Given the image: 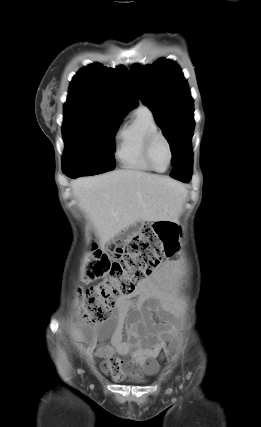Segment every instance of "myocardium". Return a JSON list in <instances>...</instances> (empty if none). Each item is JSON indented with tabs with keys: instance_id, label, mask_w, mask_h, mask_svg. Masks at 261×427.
Listing matches in <instances>:
<instances>
[{
	"instance_id": "obj_1",
	"label": "myocardium",
	"mask_w": 261,
	"mask_h": 427,
	"mask_svg": "<svg viewBox=\"0 0 261 427\" xmlns=\"http://www.w3.org/2000/svg\"><path fill=\"white\" fill-rule=\"evenodd\" d=\"M158 138H161L166 143V145L168 147V151H169V162H168L167 167L164 170H159L155 167V165L153 164V161H152V156H151L152 147ZM173 157H174V153H173L172 145H171L169 139L167 138V136L163 132L156 130V131L150 133L146 137V140L144 143V158H145V161L147 162V164L150 166V168L153 171L159 172V173L166 172L170 168V166L172 165Z\"/></svg>"
}]
</instances>
